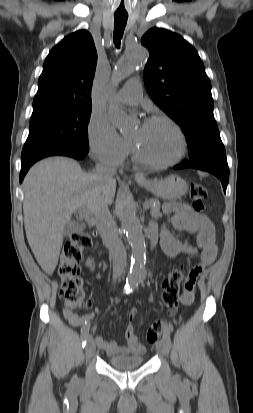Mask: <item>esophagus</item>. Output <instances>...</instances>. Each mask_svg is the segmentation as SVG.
I'll return each instance as SVG.
<instances>
[{"label": "esophagus", "instance_id": "obj_1", "mask_svg": "<svg viewBox=\"0 0 253 413\" xmlns=\"http://www.w3.org/2000/svg\"><path fill=\"white\" fill-rule=\"evenodd\" d=\"M136 177H142V174L137 173V174H136Z\"/></svg>", "mask_w": 253, "mask_h": 413}]
</instances>
